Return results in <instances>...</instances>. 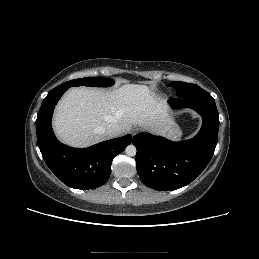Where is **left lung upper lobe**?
Wrapping results in <instances>:
<instances>
[{
    "label": "left lung upper lobe",
    "mask_w": 259,
    "mask_h": 259,
    "mask_svg": "<svg viewBox=\"0 0 259 259\" xmlns=\"http://www.w3.org/2000/svg\"><path fill=\"white\" fill-rule=\"evenodd\" d=\"M170 85H172L176 89L178 98H189L194 96L210 95L207 91L201 89L199 86L195 84L172 81Z\"/></svg>",
    "instance_id": "5c2ea615"
}]
</instances>
